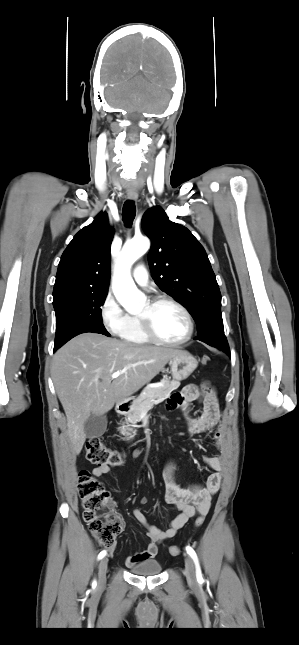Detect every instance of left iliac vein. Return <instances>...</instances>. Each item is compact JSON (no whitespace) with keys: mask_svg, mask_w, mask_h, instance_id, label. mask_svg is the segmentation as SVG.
<instances>
[{"mask_svg":"<svg viewBox=\"0 0 299 645\" xmlns=\"http://www.w3.org/2000/svg\"><path fill=\"white\" fill-rule=\"evenodd\" d=\"M185 555V568H184V574L187 578V581L190 584H196L197 579H196V574H195V568H194V563L193 560L190 556L187 554Z\"/></svg>","mask_w":299,"mask_h":645,"instance_id":"1","label":"left iliac vein"}]
</instances>
